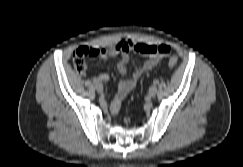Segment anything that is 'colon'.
Returning a JSON list of instances; mask_svg holds the SVG:
<instances>
[{"label":"colon","mask_w":243,"mask_h":167,"mask_svg":"<svg viewBox=\"0 0 243 167\" xmlns=\"http://www.w3.org/2000/svg\"><path fill=\"white\" fill-rule=\"evenodd\" d=\"M91 55V49L88 47H80L76 49L72 56L73 66L77 73L83 74L88 68L87 58ZM178 59L175 56L169 58L168 64L170 68L177 66Z\"/></svg>","instance_id":"1"}]
</instances>
